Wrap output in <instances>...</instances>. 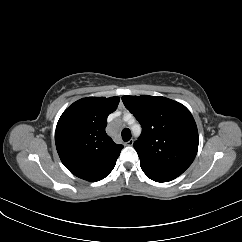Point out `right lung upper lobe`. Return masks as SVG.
I'll return each mask as SVG.
<instances>
[{
  "label": "right lung upper lobe",
  "mask_w": 242,
  "mask_h": 242,
  "mask_svg": "<svg viewBox=\"0 0 242 242\" xmlns=\"http://www.w3.org/2000/svg\"><path fill=\"white\" fill-rule=\"evenodd\" d=\"M119 97H87L70 105L61 115L55 132L57 152L75 176L95 182L114 168L123 148L106 134L107 117Z\"/></svg>",
  "instance_id": "cb5924a9"
}]
</instances>
